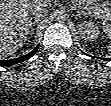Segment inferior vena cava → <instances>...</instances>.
Returning <instances> with one entry per match:
<instances>
[{
  "label": "inferior vena cava",
  "mask_w": 111,
  "mask_h": 106,
  "mask_svg": "<svg viewBox=\"0 0 111 106\" xmlns=\"http://www.w3.org/2000/svg\"><path fill=\"white\" fill-rule=\"evenodd\" d=\"M47 14L48 10L43 4L36 5L31 11L32 18L37 21H40L42 18L47 16Z\"/></svg>",
  "instance_id": "602c4592"
}]
</instances>
